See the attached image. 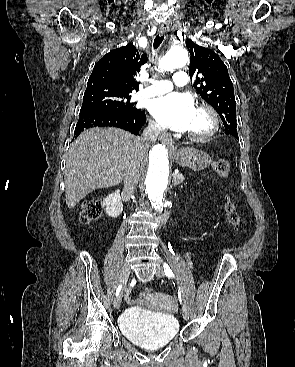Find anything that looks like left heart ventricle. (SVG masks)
Masks as SVG:
<instances>
[{
  "label": "left heart ventricle",
  "mask_w": 295,
  "mask_h": 367,
  "mask_svg": "<svg viewBox=\"0 0 295 367\" xmlns=\"http://www.w3.org/2000/svg\"><path fill=\"white\" fill-rule=\"evenodd\" d=\"M209 126L210 120L208 116L205 113L196 110L190 127L187 131L195 134H201L206 132L209 129Z\"/></svg>",
  "instance_id": "b2bd125f"
}]
</instances>
